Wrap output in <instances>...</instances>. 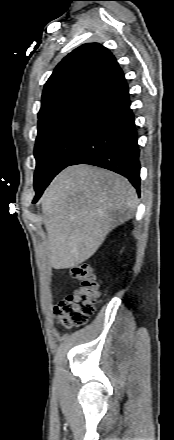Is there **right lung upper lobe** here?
I'll list each match as a JSON object with an SVG mask.
<instances>
[{
	"instance_id": "1",
	"label": "right lung upper lobe",
	"mask_w": 174,
	"mask_h": 440,
	"mask_svg": "<svg viewBox=\"0 0 174 440\" xmlns=\"http://www.w3.org/2000/svg\"><path fill=\"white\" fill-rule=\"evenodd\" d=\"M124 78L112 53L98 43L84 44L68 54L46 82L39 120L88 95H98Z\"/></svg>"
}]
</instances>
